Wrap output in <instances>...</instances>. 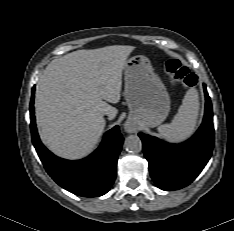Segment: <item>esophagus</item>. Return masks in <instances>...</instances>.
I'll return each instance as SVG.
<instances>
[{"label":"esophagus","mask_w":234,"mask_h":231,"mask_svg":"<svg viewBox=\"0 0 234 231\" xmlns=\"http://www.w3.org/2000/svg\"><path fill=\"white\" fill-rule=\"evenodd\" d=\"M125 130L129 133L136 132V128L134 126H132L131 124H126Z\"/></svg>","instance_id":"obj_1"}]
</instances>
